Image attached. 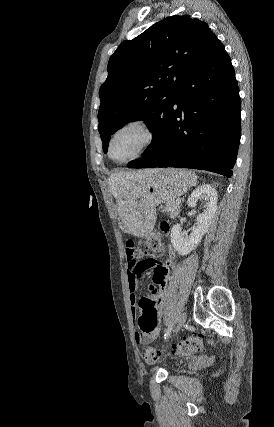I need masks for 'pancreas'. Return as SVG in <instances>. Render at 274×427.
Returning a JSON list of instances; mask_svg holds the SVG:
<instances>
[{
	"mask_svg": "<svg viewBox=\"0 0 274 427\" xmlns=\"http://www.w3.org/2000/svg\"><path fill=\"white\" fill-rule=\"evenodd\" d=\"M165 206H160L162 208V212H168L170 217H176V215L180 212V204H176L174 200H169V202H163Z\"/></svg>",
	"mask_w": 274,
	"mask_h": 427,
	"instance_id": "1",
	"label": "pancreas"
}]
</instances>
